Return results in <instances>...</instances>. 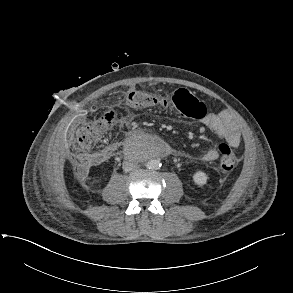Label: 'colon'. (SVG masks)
<instances>
[{
	"instance_id": "colon-1",
	"label": "colon",
	"mask_w": 293,
	"mask_h": 293,
	"mask_svg": "<svg viewBox=\"0 0 293 293\" xmlns=\"http://www.w3.org/2000/svg\"><path fill=\"white\" fill-rule=\"evenodd\" d=\"M171 103L183 115L194 117L195 109L200 102L187 90L179 89L171 95ZM161 105V102L143 90H132L125 100V111L136 112L153 106ZM196 117V116H195ZM116 113L108 112L101 119L82 126L77 132L76 151L83 156L84 152L101 139L103 133L115 122ZM220 155V166L225 171H231L237 164V157L231 147L226 143H220L217 147Z\"/></svg>"
}]
</instances>
